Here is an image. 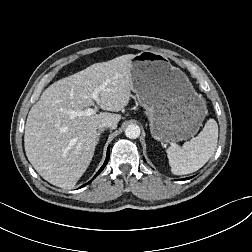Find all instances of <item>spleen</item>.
Segmentation results:
<instances>
[{
    "label": "spleen",
    "mask_w": 252,
    "mask_h": 252,
    "mask_svg": "<svg viewBox=\"0 0 252 252\" xmlns=\"http://www.w3.org/2000/svg\"><path fill=\"white\" fill-rule=\"evenodd\" d=\"M218 142V125L209 119L198 136L182 147L173 144L166 150L171 172L175 175L190 174L203 167L214 154Z\"/></svg>",
    "instance_id": "3e777b00"
}]
</instances>
